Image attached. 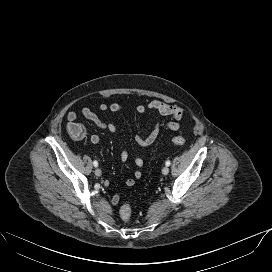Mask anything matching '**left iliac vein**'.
I'll return each instance as SVG.
<instances>
[{
    "label": "left iliac vein",
    "instance_id": "1",
    "mask_svg": "<svg viewBox=\"0 0 272 272\" xmlns=\"http://www.w3.org/2000/svg\"><path fill=\"white\" fill-rule=\"evenodd\" d=\"M168 173H169V168L168 167H163L162 174L167 175Z\"/></svg>",
    "mask_w": 272,
    "mask_h": 272
}]
</instances>
